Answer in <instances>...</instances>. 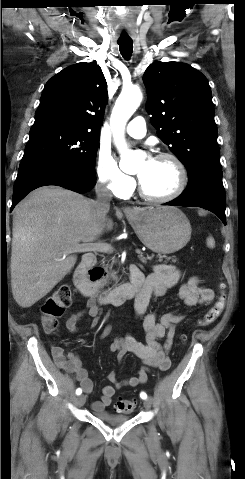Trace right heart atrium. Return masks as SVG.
<instances>
[{
	"mask_svg": "<svg viewBox=\"0 0 245 479\" xmlns=\"http://www.w3.org/2000/svg\"><path fill=\"white\" fill-rule=\"evenodd\" d=\"M97 180L110 194L117 197L128 196L135 184L134 179L124 173L111 152L100 148L96 158Z\"/></svg>",
	"mask_w": 245,
	"mask_h": 479,
	"instance_id": "right-heart-atrium-1",
	"label": "right heart atrium"
}]
</instances>
